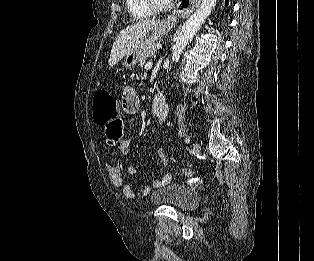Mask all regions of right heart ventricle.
Instances as JSON below:
<instances>
[{
	"label": "right heart ventricle",
	"instance_id": "1",
	"mask_svg": "<svg viewBox=\"0 0 314 261\" xmlns=\"http://www.w3.org/2000/svg\"><path fill=\"white\" fill-rule=\"evenodd\" d=\"M125 3L128 13L134 19H145L154 14L146 0H126Z\"/></svg>",
	"mask_w": 314,
	"mask_h": 261
}]
</instances>
